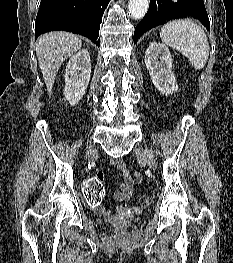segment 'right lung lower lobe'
<instances>
[{"label":"right lung lower lobe","mask_w":233,"mask_h":263,"mask_svg":"<svg viewBox=\"0 0 233 263\" xmlns=\"http://www.w3.org/2000/svg\"><path fill=\"white\" fill-rule=\"evenodd\" d=\"M110 0H41L35 39L49 31L64 30L88 37L100 46L99 29Z\"/></svg>","instance_id":"obj_1"}]
</instances>
